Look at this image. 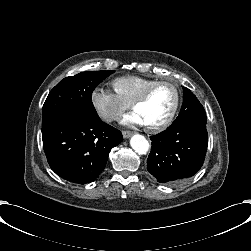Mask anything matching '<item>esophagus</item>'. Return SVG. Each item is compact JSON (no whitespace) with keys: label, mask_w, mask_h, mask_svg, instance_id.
I'll list each match as a JSON object with an SVG mask.
<instances>
[{"label":"esophagus","mask_w":251,"mask_h":251,"mask_svg":"<svg viewBox=\"0 0 251 251\" xmlns=\"http://www.w3.org/2000/svg\"><path fill=\"white\" fill-rule=\"evenodd\" d=\"M122 135H123V137L124 138H130L132 135H133V132H131V131H122Z\"/></svg>","instance_id":"esophagus-1"}]
</instances>
